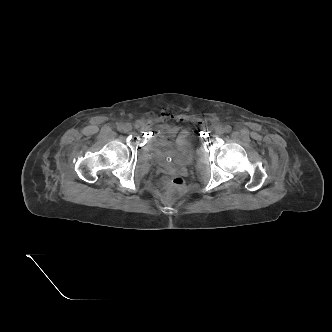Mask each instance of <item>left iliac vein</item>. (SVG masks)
<instances>
[{
	"mask_svg": "<svg viewBox=\"0 0 332 332\" xmlns=\"http://www.w3.org/2000/svg\"><path fill=\"white\" fill-rule=\"evenodd\" d=\"M215 132L221 135L225 132V129L222 126H217Z\"/></svg>",
	"mask_w": 332,
	"mask_h": 332,
	"instance_id": "4c4485c4",
	"label": "left iliac vein"
}]
</instances>
